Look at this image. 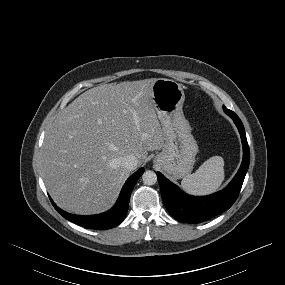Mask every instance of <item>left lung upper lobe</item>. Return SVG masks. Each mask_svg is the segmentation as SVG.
I'll use <instances>...</instances> for the list:
<instances>
[{
  "mask_svg": "<svg viewBox=\"0 0 285 285\" xmlns=\"http://www.w3.org/2000/svg\"><path fill=\"white\" fill-rule=\"evenodd\" d=\"M223 109H224V111H225L226 113H234L233 111L228 110L225 106H223Z\"/></svg>",
  "mask_w": 285,
  "mask_h": 285,
  "instance_id": "5c2ea615",
  "label": "left lung upper lobe"
}]
</instances>
